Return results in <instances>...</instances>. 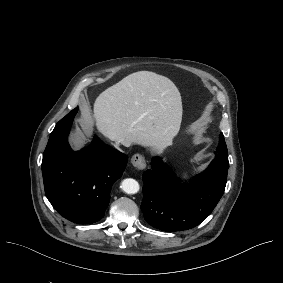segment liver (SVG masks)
Wrapping results in <instances>:
<instances>
[{"mask_svg": "<svg viewBox=\"0 0 283 283\" xmlns=\"http://www.w3.org/2000/svg\"><path fill=\"white\" fill-rule=\"evenodd\" d=\"M92 118L97 132L109 141L158 153L178 135L181 95L174 82L164 75L144 70L133 72L96 97ZM92 118L83 114L78 120L83 135L91 131ZM72 140L83 145L80 136Z\"/></svg>", "mask_w": 283, "mask_h": 283, "instance_id": "liver-1", "label": "liver"}]
</instances>
